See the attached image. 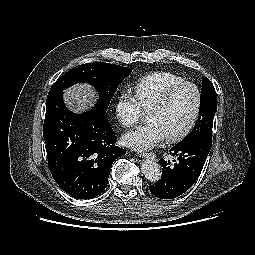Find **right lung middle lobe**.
<instances>
[{"label":"right lung middle lobe","instance_id":"obj_1","mask_svg":"<svg viewBox=\"0 0 255 255\" xmlns=\"http://www.w3.org/2000/svg\"><path fill=\"white\" fill-rule=\"evenodd\" d=\"M132 69L110 63L94 62L74 67L60 77L51 87L47 101L76 83H88L97 93L96 111L106 117L108 105L122 80Z\"/></svg>","mask_w":255,"mask_h":255}]
</instances>
